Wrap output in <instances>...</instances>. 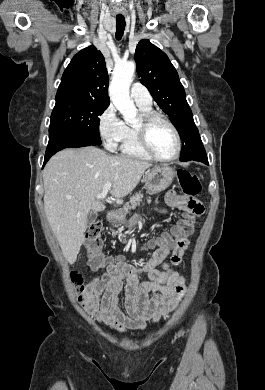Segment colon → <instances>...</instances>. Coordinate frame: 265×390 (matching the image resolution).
<instances>
[{
  "label": "colon",
  "mask_w": 265,
  "mask_h": 390,
  "mask_svg": "<svg viewBox=\"0 0 265 390\" xmlns=\"http://www.w3.org/2000/svg\"><path fill=\"white\" fill-rule=\"evenodd\" d=\"M178 181L183 193L186 196L195 197L201 191V184L198 177L187 170H179L177 173ZM194 215H186L179 223V235L187 236L193 229ZM102 226L99 223L93 224L86 234L85 245L88 252L89 264L92 268L98 269L104 267L105 259L102 254ZM72 283L75 286L78 300L85 305L90 300L88 287L85 285L83 276L78 272L71 275Z\"/></svg>",
  "instance_id": "obj_1"
}]
</instances>
